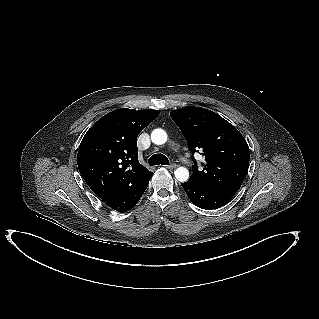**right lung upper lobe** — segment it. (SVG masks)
Wrapping results in <instances>:
<instances>
[{"instance_id": "cb5924a9", "label": "right lung upper lobe", "mask_w": 319, "mask_h": 319, "mask_svg": "<svg viewBox=\"0 0 319 319\" xmlns=\"http://www.w3.org/2000/svg\"><path fill=\"white\" fill-rule=\"evenodd\" d=\"M159 113L121 108L100 118L83 137L78 168L103 201L115 199L151 172L138 161L137 136Z\"/></svg>"}]
</instances>
